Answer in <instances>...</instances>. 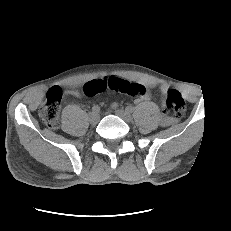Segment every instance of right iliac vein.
Instances as JSON below:
<instances>
[{
  "label": "right iliac vein",
  "mask_w": 231,
  "mask_h": 231,
  "mask_svg": "<svg viewBox=\"0 0 231 231\" xmlns=\"http://www.w3.org/2000/svg\"><path fill=\"white\" fill-rule=\"evenodd\" d=\"M99 119H100V117L97 113H93V112L90 113V115H89L90 123L96 124V123H98Z\"/></svg>",
  "instance_id": "63e3f726"
}]
</instances>
